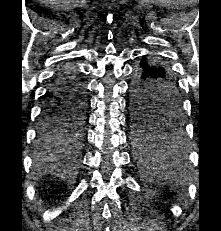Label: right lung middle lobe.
I'll return each mask as SVG.
<instances>
[{"mask_svg":"<svg viewBox=\"0 0 221 231\" xmlns=\"http://www.w3.org/2000/svg\"><path fill=\"white\" fill-rule=\"evenodd\" d=\"M86 99L50 105L42 111L37 141L50 148L77 142L82 136Z\"/></svg>","mask_w":221,"mask_h":231,"instance_id":"right-lung-middle-lobe-1","label":"right lung middle lobe"}]
</instances>
